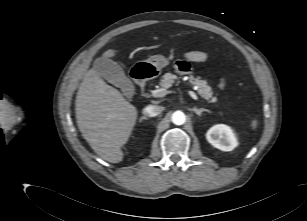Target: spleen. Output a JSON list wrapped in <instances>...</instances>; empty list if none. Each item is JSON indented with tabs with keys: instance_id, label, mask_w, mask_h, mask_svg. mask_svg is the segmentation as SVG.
<instances>
[{
	"instance_id": "obj_1",
	"label": "spleen",
	"mask_w": 307,
	"mask_h": 221,
	"mask_svg": "<svg viewBox=\"0 0 307 221\" xmlns=\"http://www.w3.org/2000/svg\"><path fill=\"white\" fill-rule=\"evenodd\" d=\"M251 126H252L253 129L256 128V126H257V120H256V119H254V120L252 121Z\"/></svg>"
}]
</instances>
